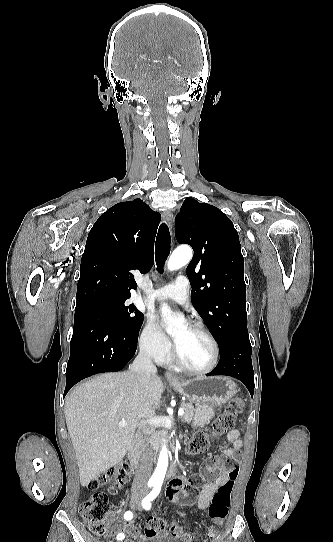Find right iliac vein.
<instances>
[{
  "mask_svg": "<svg viewBox=\"0 0 333 542\" xmlns=\"http://www.w3.org/2000/svg\"><path fill=\"white\" fill-rule=\"evenodd\" d=\"M142 496H144V494L142 495H139L140 499L142 498ZM136 503H132V505H135Z\"/></svg>",
  "mask_w": 333,
  "mask_h": 542,
  "instance_id": "right-iliac-vein-1",
  "label": "right iliac vein"
}]
</instances>
